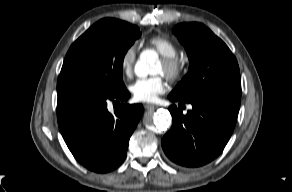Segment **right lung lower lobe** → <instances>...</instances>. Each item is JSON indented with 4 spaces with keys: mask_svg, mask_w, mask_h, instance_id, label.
Returning a JSON list of instances; mask_svg holds the SVG:
<instances>
[{
    "mask_svg": "<svg viewBox=\"0 0 292 192\" xmlns=\"http://www.w3.org/2000/svg\"><path fill=\"white\" fill-rule=\"evenodd\" d=\"M57 93L59 129L76 160L98 173L117 168L126 157L143 106L125 103L130 97L126 88L105 93L89 86L66 84L57 87ZM109 102L122 106L111 114Z\"/></svg>",
    "mask_w": 292,
    "mask_h": 192,
    "instance_id": "right-lung-lower-lobe-1",
    "label": "right lung lower lobe"
}]
</instances>
